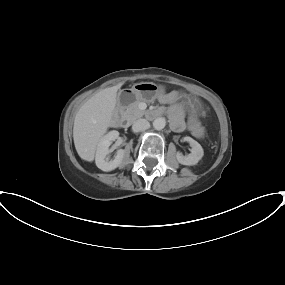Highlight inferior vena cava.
I'll list each match as a JSON object with an SVG mask.
<instances>
[{
	"instance_id": "obj_1",
	"label": "inferior vena cava",
	"mask_w": 285,
	"mask_h": 285,
	"mask_svg": "<svg viewBox=\"0 0 285 285\" xmlns=\"http://www.w3.org/2000/svg\"><path fill=\"white\" fill-rule=\"evenodd\" d=\"M150 127L149 122L146 119L136 120L132 125L133 132H140L148 129Z\"/></svg>"
}]
</instances>
